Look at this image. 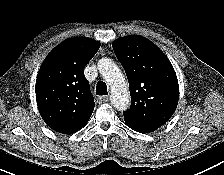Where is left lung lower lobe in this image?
<instances>
[{
	"mask_svg": "<svg viewBox=\"0 0 224 175\" xmlns=\"http://www.w3.org/2000/svg\"><path fill=\"white\" fill-rule=\"evenodd\" d=\"M126 125L130 127L131 129L140 133H150L159 128V126H138V125H133L128 123H126Z\"/></svg>",
	"mask_w": 224,
	"mask_h": 175,
	"instance_id": "obj_1",
	"label": "left lung lower lobe"
}]
</instances>
